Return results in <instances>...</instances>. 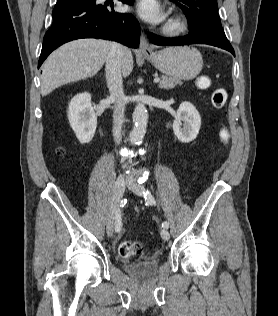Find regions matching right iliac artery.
<instances>
[{
    "label": "right iliac artery",
    "mask_w": 278,
    "mask_h": 316,
    "mask_svg": "<svg viewBox=\"0 0 278 316\" xmlns=\"http://www.w3.org/2000/svg\"><path fill=\"white\" fill-rule=\"evenodd\" d=\"M121 226H122V223H121V212H120V209L118 208L116 210V214H115V231L119 232L121 230Z\"/></svg>",
    "instance_id": "obj_1"
}]
</instances>
